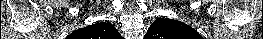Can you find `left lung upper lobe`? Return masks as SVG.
<instances>
[{
    "mask_svg": "<svg viewBox=\"0 0 263 39\" xmlns=\"http://www.w3.org/2000/svg\"><path fill=\"white\" fill-rule=\"evenodd\" d=\"M144 39H203V37L183 22L160 18L151 24Z\"/></svg>",
    "mask_w": 263,
    "mask_h": 39,
    "instance_id": "left-lung-upper-lobe-1",
    "label": "left lung upper lobe"
}]
</instances>
